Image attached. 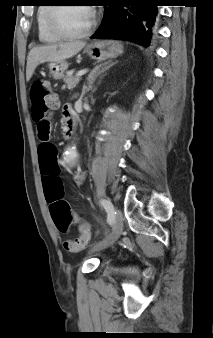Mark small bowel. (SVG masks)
<instances>
[{
	"mask_svg": "<svg viewBox=\"0 0 213 338\" xmlns=\"http://www.w3.org/2000/svg\"><path fill=\"white\" fill-rule=\"evenodd\" d=\"M71 114H72V106L70 104H66L63 107V116L65 118V123L68 121ZM43 122L49 123L48 118L44 119ZM44 144L50 145L48 142L44 141L42 142L41 147ZM39 164H40V173H41L43 188H44L45 201L48 204V208L52 216L51 207L54 204L62 201L60 198V195L63 190V183H62L60 171H59L60 165L54 153H52L49 157H47L41 150L39 153ZM76 176H77L76 178L77 182L81 183L83 179L82 174L78 172ZM55 225L58 228V230H60L63 233L68 232L70 228L69 222L64 227H59L56 224V222H55Z\"/></svg>",
	"mask_w": 213,
	"mask_h": 338,
	"instance_id": "small-bowel-1",
	"label": "small bowel"
}]
</instances>
